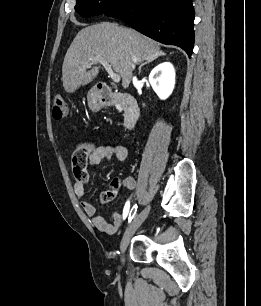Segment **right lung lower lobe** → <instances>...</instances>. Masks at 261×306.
<instances>
[{"instance_id":"right-lung-lower-lobe-1","label":"right lung lower lobe","mask_w":261,"mask_h":306,"mask_svg":"<svg viewBox=\"0 0 261 306\" xmlns=\"http://www.w3.org/2000/svg\"><path fill=\"white\" fill-rule=\"evenodd\" d=\"M104 14L156 41L181 47L189 57L192 54L195 13L191 0H128Z\"/></svg>"}]
</instances>
